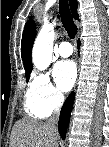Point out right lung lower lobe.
Listing matches in <instances>:
<instances>
[{
	"label": "right lung lower lobe",
	"instance_id": "right-lung-lower-lobe-1",
	"mask_svg": "<svg viewBox=\"0 0 109 147\" xmlns=\"http://www.w3.org/2000/svg\"><path fill=\"white\" fill-rule=\"evenodd\" d=\"M73 103H74V93L72 92L66 99L65 103L63 104L58 123L59 133L63 139H65L66 136V131L69 124Z\"/></svg>",
	"mask_w": 109,
	"mask_h": 147
}]
</instances>
